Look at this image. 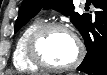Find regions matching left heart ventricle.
I'll return each mask as SVG.
<instances>
[{
	"mask_svg": "<svg viewBox=\"0 0 107 75\" xmlns=\"http://www.w3.org/2000/svg\"><path fill=\"white\" fill-rule=\"evenodd\" d=\"M43 56L52 64L65 65L70 63L76 55L74 39L61 30L48 32L41 42Z\"/></svg>",
	"mask_w": 107,
	"mask_h": 75,
	"instance_id": "obj_1",
	"label": "left heart ventricle"
}]
</instances>
